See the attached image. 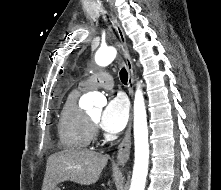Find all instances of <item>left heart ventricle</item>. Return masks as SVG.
I'll use <instances>...</instances> for the list:
<instances>
[{
    "label": "left heart ventricle",
    "mask_w": 221,
    "mask_h": 190,
    "mask_svg": "<svg viewBox=\"0 0 221 190\" xmlns=\"http://www.w3.org/2000/svg\"><path fill=\"white\" fill-rule=\"evenodd\" d=\"M99 116H100V111H96V112H94V113L91 114V118H92L93 120H95V121L98 120Z\"/></svg>",
    "instance_id": "obj_1"
}]
</instances>
